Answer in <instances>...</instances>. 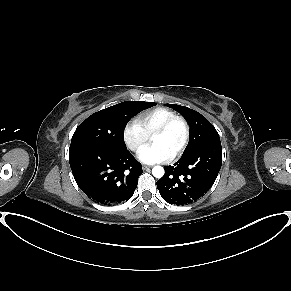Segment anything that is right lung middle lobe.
<instances>
[{"mask_svg":"<svg viewBox=\"0 0 291 291\" xmlns=\"http://www.w3.org/2000/svg\"><path fill=\"white\" fill-rule=\"evenodd\" d=\"M155 102L125 101L89 116L75 131L69 151L83 147L124 150V129L138 112Z\"/></svg>","mask_w":291,"mask_h":291,"instance_id":"right-lung-middle-lobe-1","label":"right lung middle lobe"}]
</instances>
